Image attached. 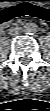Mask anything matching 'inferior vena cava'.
Returning <instances> with one entry per match:
<instances>
[{"label": "inferior vena cava", "instance_id": "602c4592", "mask_svg": "<svg viewBox=\"0 0 50 111\" xmlns=\"http://www.w3.org/2000/svg\"><path fill=\"white\" fill-rule=\"evenodd\" d=\"M21 33H22V28L21 27L16 26V27H12V28L9 29V34L11 36H17Z\"/></svg>", "mask_w": 50, "mask_h": 111}]
</instances>
